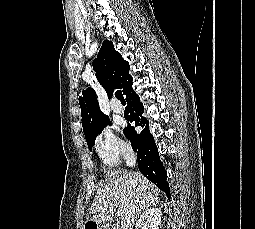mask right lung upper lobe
Masks as SVG:
<instances>
[{"instance_id":"right-lung-upper-lobe-1","label":"right lung upper lobe","mask_w":255,"mask_h":229,"mask_svg":"<svg viewBox=\"0 0 255 229\" xmlns=\"http://www.w3.org/2000/svg\"><path fill=\"white\" fill-rule=\"evenodd\" d=\"M92 65L98 82L106 90L109 98L114 89H122L123 92L126 90L130 79L129 63L114 49L112 42H103ZM79 104L83 132L87 140L94 135L98 127L108 119V116L101 112L95 92L91 88L83 91V97L79 98Z\"/></svg>"}]
</instances>
